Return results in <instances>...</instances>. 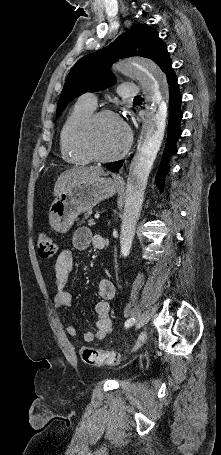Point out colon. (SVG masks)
I'll list each match as a JSON object with an SVG mask.
<instances>
[{
	"label": "colon",
	"instance_id": "colon-1",
	"mask_svg": "<svg viewBox=\"0 0 221 455\" xmlns=\"http://www.w3.org/2000/svg\"><path fill=\"white\" fill-rule=\"evenodd\" d=\"M37 248L42 258L53 257L56 252L53 239L46 233L39 235ZM80 355L83 362L94 366L116 365L122 361V355L117 352L97 350L90 347H82Z\"/></svg>",
	"mask_w": 221,
	"mask_h": 455
}]
</instances>
